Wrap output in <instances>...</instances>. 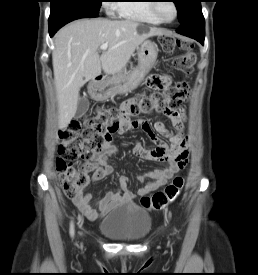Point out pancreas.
I'll use <instances>...</instances> for the list:
<instances>
[{
  "label": "pancreas",
  "mask_w": 258,
  "mask_h": 275,
  "mask_svg": "<svg viewBox=\"0 0 258 275\" xmlns=\"http://www.w3.org/2000/svg\"><path fill=\"white\" fill-rule=\"evenodd\" d=\"M121 74H128V72L126 70H124Z\"/></svg>",
  "instance_id": "cf45deb5"
}]
</instances>
